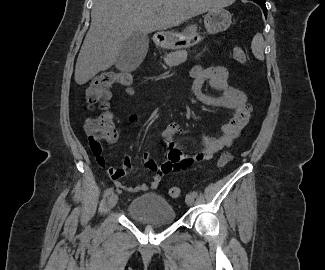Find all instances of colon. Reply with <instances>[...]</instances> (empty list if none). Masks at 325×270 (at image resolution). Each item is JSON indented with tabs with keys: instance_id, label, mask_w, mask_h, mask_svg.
<instances>
[{
	"instance_id": "5ec220e1",
	"label": "colon",
	"mask_w": 325,
	"mask_h": 270,
	"mask_svg": "<svg viewBox=\"0 0 325 270\" xmlns=\"http://www.w3.org/2000/svg\"><path fill=\"white\" fill-rule=\"evenodd\" d=\"M233 58L240 64L247 63V57L244 50L240 47L232 49ZM133 77L129 73H119L115 71H106L97 75L90 82L86 89V98L92 107L101 110V114L89 118L85 124V130L88 136V142L91 151L95 156L101 154V143L112 142L116 137V130L112 121V116L107 109L111 98L110 88L114 84H119L127 89L130 88ZM232 159L230 152H224L218 160V166L223 167ZM169 195L172 198H178L181 190L178 187H171Z\"/></svg>"
}]
</instances>
